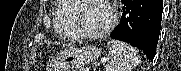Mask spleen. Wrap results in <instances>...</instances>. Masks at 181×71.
I'll list each match as a JSON object with an SVG mask.
<instances>
[{
  "label": "spleen",
  "mask_w": 181,
  "mask_h": 71,
  "mask_svg": "<svg viewBox=\"0 0 181 71\" xmlns=\"http://www.w3.org/2000/svg\"><path fill=\"white\" fill-rule=\"evenodd\" d=\"M109 58L105 71H132L140 57L134 47L118 40H109L107 43Z\"/></svg>",
  "instance_id": "1"
}]
</instances>
